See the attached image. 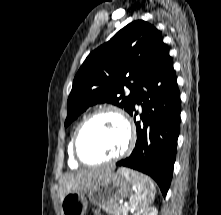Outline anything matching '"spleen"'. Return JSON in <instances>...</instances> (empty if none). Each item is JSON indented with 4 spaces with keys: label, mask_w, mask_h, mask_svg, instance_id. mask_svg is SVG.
Returning <instances> with one entry per match:
<instances>
[{
    "label": "spleen",
    "mask_w": 221,
    "mask_h": 215,
    "mask_svg": "<svg viewBox=\"0 0 221 215\" xmlns=\"http://www.w3.org/2000/svg\"><path fill=\"white\" fill-rule=\"evenodd\" d=\"M133 187L134 194L129 199L130 208L137 211L148 208L155 197V187L152 180L144 175L142 182L135 180Z\"/></svg>",
    "instance_id": "1"
}]
</instances>
